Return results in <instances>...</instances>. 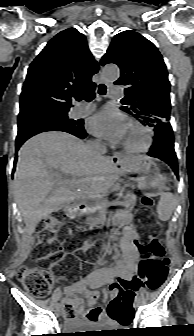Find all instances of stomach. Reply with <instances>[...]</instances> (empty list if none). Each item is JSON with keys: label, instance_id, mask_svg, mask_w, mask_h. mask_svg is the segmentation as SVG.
<instances>
[{"label": "stomach", "instance_id": "1", "mask_svg": "<svg viewBox=\"0 0 194 336\" xmlns=\"http://www.w3.org/2000/svg\"><path fill=\"white\" fill-rule=\"evenodd\" d=\"M120 165L124 174H137L136 179L139 189L145 190L151 196L162 194L165 181L158 172L155 164L145 156H132L129 162L118 158L115 162Z\"/></svg>", "mask_w": 194, "mask_h": 336}]
</instances>
